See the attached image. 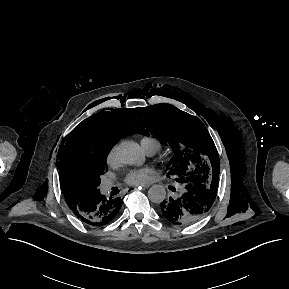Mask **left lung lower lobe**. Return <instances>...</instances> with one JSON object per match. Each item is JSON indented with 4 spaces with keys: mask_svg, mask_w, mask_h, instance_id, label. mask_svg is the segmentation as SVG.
Wrapping results in <instances>:
<instances>
[{
    "mask_svg": "<svg viewBox=\"0 0 289 289\" xmlns=\"http://www.w3.org/2000/svg\"><path fill=\"white\" fill-rule=\"evenodd\" d=\"M217 181L193 179L183 184L180 194L163 201L161 211L170 222L178 225L193 224L211 208L216 198Z\"/></svg>",
    "mask_w": 289,
    "mask_h": 289,
    "instance_id": "1",
    "label": "left lung lower lobe"
}]
</instances>
